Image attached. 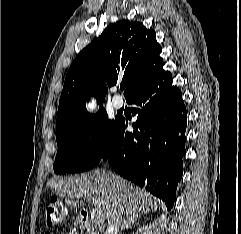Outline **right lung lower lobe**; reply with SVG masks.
Returning a JSON list of instances; mask_svg holds the SVG:
<instances>
[{
	"instance_id": "1",
	"label": "right lung lower lobe",
	"mask_w": 241,
	"mask_h": 234,
	"mask_svg": "<svg viewBox=\"0 0 241 234\" xmlns=\"http://www.w3.org/2000/svg\"><path fill=\"white\" fill-rule=\"evenodd\" d=\"M137 107L133 133L128 121L118 118L101 159H107L122 177L173 207L182 177L187 112L172 75L163 67L127 99Z\"/></svg>"
}]
</instances>
